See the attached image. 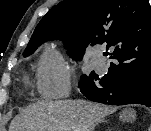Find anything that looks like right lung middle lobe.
I'll use <instances>...</instances> for the list:
<instances>
[{"label":"right lung middle lobe","mask_w":151,"mask_h":131,"mask_svg":"<svg viewBox=\"0 0 151 131\" xmlns=\"http://www.w3.org/2000/svg\"><path fill=\"white\" fill-rule=\"evenodd\" d=\"M40 44H31V45H28L27 48L25 49V52H24V56H29L30 54H32L36 49L37 47L39 46ZM68 52L71 56H73L74 59L76 60H81L82 57H83V53H78L76 52L74 49H72L71 47H68ZM85 76V75H84ZM94 76V75H92Z\"/></svg>","instance_id":"right-lung-middle-lobe-1"}]
</instances>
